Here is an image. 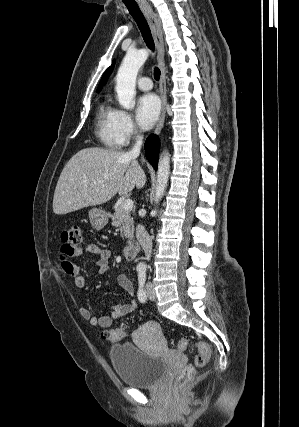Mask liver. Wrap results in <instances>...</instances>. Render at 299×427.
I'll return each instance as SVG.
<instances>
[{
    "label": "liver",
    "mask_w": 299,
    "mask_h": 427,
    "mask_svg": "<svg viewBox=\"0 0 299 427\" xmlns=\"http://www.w3.org/2000/svg\"><path fill=\"white\" fill-rule=\"evenodd\" d=\"M137 155L97 147L77 152L58 179L53 211L64 215L109 201L117 193L126 195L145 184V174ZM106 176V177H105Z\"/></svg>",
    "instance_id": "liver-1"
}]
</instances>
